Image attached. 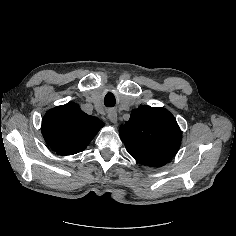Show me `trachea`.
I'll return each instance as SVG.
<instances>
[{
	"label": "trachea",
	"instance_id": "trachea-1",
	"mask_svg": "<svg viewBox=\"0 0 236 236\" xmlns=\"http://www.w3.org/2000/svg\"><path fill=\"white\" fill-rule=\"evenodd\" d=\"M104 104L106 107H113L115 105V100L112 101V100L105 99Z\"/></svg>",
	"mask_w": 236,
	"mask_h": 236
}]
</instances>
